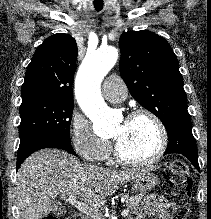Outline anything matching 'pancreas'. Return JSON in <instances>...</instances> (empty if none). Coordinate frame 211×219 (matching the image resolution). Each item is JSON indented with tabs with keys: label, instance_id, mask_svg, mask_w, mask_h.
Wrapping results in <instances>:
<instances>
[{
	"label": "pancreas",
	"instance_id": "cf45deb5",
	"mask_svg": "<svg viewBox=\"0 0 211 219\" xmlns=\"http://www.w3.org/2000/svg\"><path fill=\"white\" fill-rule=\"evenodd\" d=\"M123 197L125 198L127 208L133 210L140 206L144 195L138 194L136 196H129L128 194H125Z\"/></svg>",
	"mask_w": 211,
	"mask_h": 219
}]
</instances>
